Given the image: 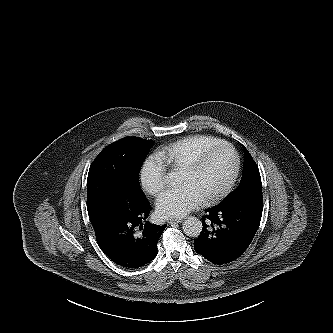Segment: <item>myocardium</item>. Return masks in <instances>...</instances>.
I'll list each match as a JSON object with an SVG mask.
<instances>
[{
  "mask_svg": "<svg viewBox=\"0 0 333 333\" xmlns=\"http://www.w3.org/2000/svg\"><path fill=\"white\" fill-rule=\"evenodd\" d=\"M223 147H227L231 149V151L233 152L235 156V167L231 177L229 178L228 182L224 185V187L221 188L216 193L204 198V203L206 204L215 203L226 197L231 192L238 179L241 170V157L237 149L234 147V145H232L227 141H221L213 146H210L205 150H203L201 153H199L190 163H188L185 167H183L180 170V173L197 172L204 165V163L212 153Z\"/></svg>",
  "mask_w": 333,
  "mask_h": 333,
  "instance_id": "obj_1",
  "label": "myocardium"
}]
</instances>
